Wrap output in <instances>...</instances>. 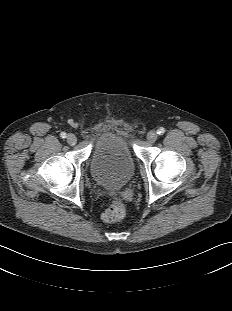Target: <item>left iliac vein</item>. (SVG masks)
Segmentation results:
<instances>
[{"instance_id":"obj_1","label":"left iliac vein","mask_w":232,"mask_h":311,"mask_svg":"<svg viewBox=\"0 0 232 311\" xmlns=\"http://www.w3.org/2000/svg\"><path fill=\"white\" fill-rule=\"evenodd\" d=\"M158 138V135L155 131H150L148 134H147V140L149 143H154Z\"/></svg>"}]
</instances>
